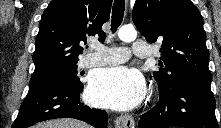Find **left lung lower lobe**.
Instances as JSON below:
<instances>
[{"label": "left lung lower lobe", "instance_id": "0a47b994", "mask_svg": "<svg viewBox=\"0 0 221 128\" xmlns=\"http://www.w3.org/2000/svg\"><path fill=\"white\" fill-rule=\"evenodd\" d=\"M159 97L155 107L140 117L139 128H219L210 84L186 83Z\"/></svg>", "mask_w": 221, "mask_h": 128}]
</instances>
